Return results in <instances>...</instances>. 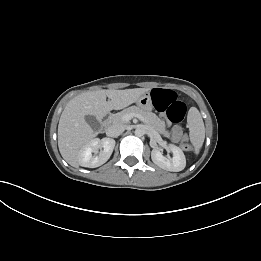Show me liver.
Returning a JSON list of instances; mask_svg holds the SVG:
<instances>
[{"label":"liver","instance_id":"1","mask_svg":"<svg viewBox=\"0 0 261 261\" xmlns=\"http://www.w3.org/2000/svg\"><path fill=\"white\" fill-rule=\"evenodd\" d=\"M148 91L146 88L97 90L84 92L71 99L58 124V147L62 157L73 167L80 165L78 155L81 148L96 136L86 116L102 119L111 110H120L135 103Z\"/></svg>","mask_w":261,"mask_h":261}]
</instances>
